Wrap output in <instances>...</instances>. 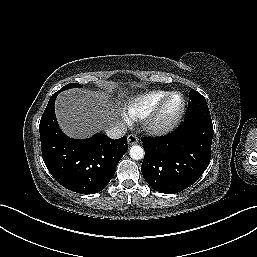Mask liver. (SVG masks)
Here are the masks:
<instances>
[{
	"mask_svg": "<svg viewBox=\"0 0 257 257\" xmlns=\"http://www.w3.org/2000/svg\"><path fill=\"white\" fill-rule=\"evenodd\" d=\"M106 86L112 89L114 84L107 82ZM55 113L63 132L72 138H87L113 126L118 114L105 93L86 89L60 93L56 99Z\"/></svg>",
	"mask_w": 257,
	"mask_h": 257,
	"instance_id": "6515ba94",
	"label": "liver"
}]
</instances>
